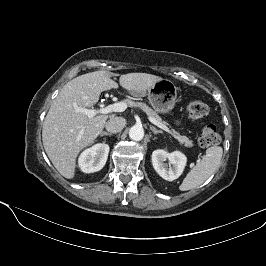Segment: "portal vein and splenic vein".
<instances>
[{
  "instance_id": "18ae733b",
  "label": "portal vein and splenic vein",
  "mask_w": 266,
  "mask_h": 266,
  "mask_svg": "<svg viewBox=\"0 0 266 266\" xmlns=\"http://www.w3.org/2000/svg\"><path fill=\"white\" fill-rule=\"evenodd\" d=\"M127 108V104L125 102H117L114 104H110L106 107L100 108V109H87V108H81L75 106V110L78 113H83L87 115L89 118H92L96 116L97 114H108L111 112H123ZM149 121L153 123L154 125L158 126L159 128L165 130L166 132L170 133L173 135L176 139H180V137L176 134V132L170 130L167 126L157 122L154 118L149 117Z\"/></svg>"
}]
</instances>
